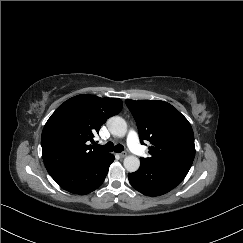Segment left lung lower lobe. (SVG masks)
Listing matches in <instances>:
<instances>
[{"mask_svg":"<svg viewBox=\"0 0 243 243\" xmlns=\"http://www.w3.org/2000/svg\"><path fill=\"white\" fill-rule=\"evenodd\" d=\"M193 161L170 160L153 165H141L128 174L130 184L148 196H159L175 188L185 178Z\"/></svg>","mask_w":243,"mask_h":243,"instance_id":"1","label":"left lung lower lobe"}]
</instances>
